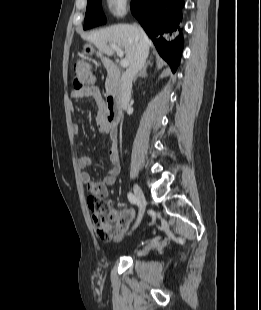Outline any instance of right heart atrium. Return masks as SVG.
I'll return each mask as SVG.
<instances>
[{"label":"right heart atrium","mask_w":261,"mask_h":310,"mask_svg":"<svg viewBox=\"0 0 261 310\" xmlns=\"http://www.w3.org/2000/svg\"><path fill=\"white\" fill-rule=\"evenodd\" d=\"M131 0H106L107 9L114 18L123 17L129 6Z\"/></svg>","instance_id":"1"}]
</instances>
